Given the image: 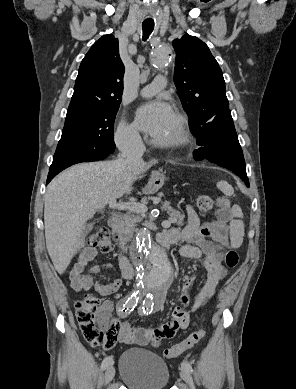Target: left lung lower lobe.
Wrapping results in <instances>:
<instances>
[{
	"label": "left lung lower lobe",
	"mask_w": 296,
	"mask_h": 389,
	"mask_svg": "<svg viewBox=\"0 0 296 389\" xmlns=\"http://www.w3.org/2000/svg\"><path fill=\"white\" fill-rule=\"evenodd\" d=\"M197 143L200 147L193 152L196 161L208 160L227 168L249 187L245 160L230 110L217 114L202 126Z\"/></svg>",
	"instance_id": "1"
}]
</instances>
